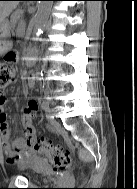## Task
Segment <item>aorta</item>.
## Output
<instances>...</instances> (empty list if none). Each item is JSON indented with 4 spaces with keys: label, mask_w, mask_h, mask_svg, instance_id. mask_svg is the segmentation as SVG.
<instances>
[{
    "label": "aorta",
    "mask_w": 137,
    "mask_h": 189,
    "mask_svg": "<svg viewBox=\"0 0 137 189\" xmlns=\"http://www.w3.org/2000/svg\"><path fill=\"white\" fill-rule=\"evenodd\" d=\"M53 1H39L36 13L37 35H40L46 27L51 13Z\"/></svg>",
    "instance_id": "aorta-1"
}]
</instances>
